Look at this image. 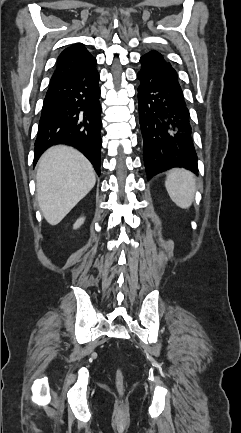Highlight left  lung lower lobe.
I'll list each match as a JSON object with an SVG mask.
<instances>
[{
	"label": "left lung lower lobe",
	"instance_id": "obj_1",
	"mask_svg": "<svg viewBox=\"0 0 241 433\" xmlns=\"http://www.w3.org/2000/svg\"><path fill=\"white\" fill-rule=\"evenodd\" d=\"M139 122L147 178L183 167L198 172L190 115L177 79L164 69H141Z\"/></svg>",
	"mask_w": 241,
	"mask_h": 433
}]
</instances>
